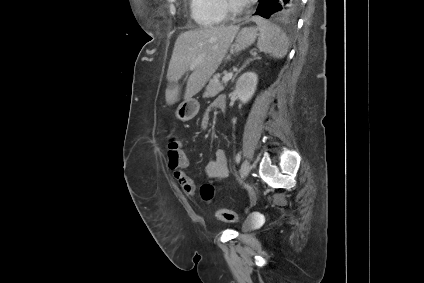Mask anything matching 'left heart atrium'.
<instances>
[{
    "label": "left heart atrium",
    "instance_id": "obj_1",
    "mask_svg": "<svg viewBox=\"0 0 424 283\" xmlns=\"http://www.w3.org/2000/svg\"><path fill=\"white\" fill-rule=\"evenodd\" d=\"M237 4L244 5L249 3L251 0H234Z\"/></svg>",
    "mask_w": 424,
    "mask_h": 283
}]
</instances>
